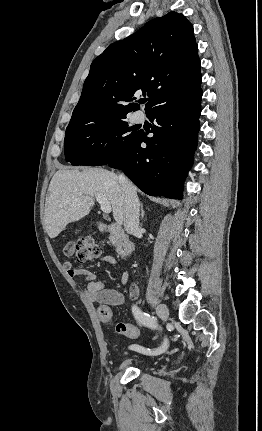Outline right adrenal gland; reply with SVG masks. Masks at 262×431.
I'll return each mask as SVG.
<instances>
[{
  "label": "right adrenal gland",
  "mask_w": 262,
  "mask_h": 431,
  "mask_svg": "<svg viewBox=\"0 0 262 431\" xmlns=\"http://www.w3.org/2000/svg\"><path fill=\"white\" fill-rule=\"evenodd\" d=\"M140 209H141V220H142L144 218V214H145L142 203L140 204Z\"/></svg>",
  "instance_id": "obj_1"
}]
</instances>
